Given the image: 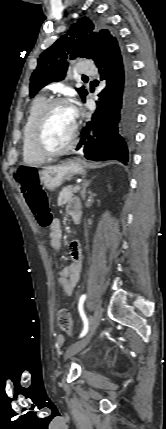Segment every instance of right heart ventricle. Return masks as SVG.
Wrapping results in <instances>:
<instances>
[{"instance_id": "1", "label": "right heart ventricle", "mask_w": 166, "mask_h": 429, "mask_svg": "<svg viewBox=\"0 0 166 429\" xmlns=\"http://www.w3.org/2000/svg\"><path fill=\"white\" fill-rule=\"evenodd\" d=\"M47 101L46 97L43 95L37 96L30 107L24 128H23V137H22V156L24 162L28 164H40L45 161V158L36 154L30 146V133L32 129L33 122L43 106Z\"/></svg>"}]
</instances>
